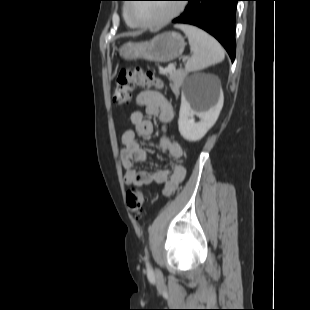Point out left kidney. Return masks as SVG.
<instances>
[{
  "label": "left kidney",
  "mask_w": 310,
  "mask_h": 310,
  "mask_svg": "<svg viewBox=\"0 0 310 310\" xmlns=\"http://www.w3.org/2000/svg\"><path fill=\"white\" fill-rule=\"evenodd\" d=\"M223 106L222 98L209 109L200 108L194 103L191 94L183 93L179 112V132L188 141H199L209 129L216 123ZM194 116L200 121L195 122Z\"/></svg>",
  "instance_id": "left-kidney-1"
}]
</instances>
